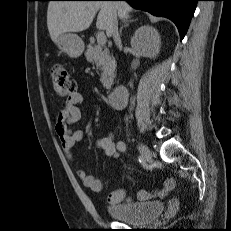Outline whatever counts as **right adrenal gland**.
<instances>
[{
	"label": "right adrenal gland",
	"mask_w": 231,
	"mask_h": 231,
	"mask_svg": "<svg viewBox=\"0 0 231 231\" xmlns=\"http://www.w3.org/2000/svg\"><path fill=\"white\" fill-rule=\"evenodd\" d=\"M134 21H136V20H133V19H130V20L124 19V20H123V24H122V26L120 27V35L122 34L123 28L129 26V24L132 23V22H134Z\"/></svg>",
	"instance_id": "obj_1"
}]
</instances>
